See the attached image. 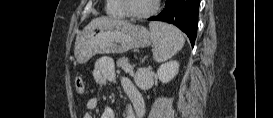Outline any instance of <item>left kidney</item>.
I'll use <instances>...</instances> for the list:
<instances>
[{
	"instance_id": "left-kidney-1",
	"label": "left kidney",
	"mask_w": 273,
	"mask_h": 118,
	"mask_svg": "<svg viewBox=\"0 0 273 118\" xmlns=\"http://www.w3.org/2000/svg\"><path fill=\"white\" fill-rule=\"evenodd\" d=\"M179 70V63L175 60L162 64L157 70V76L162 83L170 82Z\"/></svg>"
}]
</instances>
